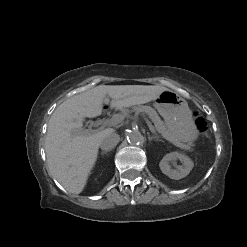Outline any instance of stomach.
<instances>
[{
	"label": "stomach",
	"mask_w": 247,
	"mask_h": 247,
	"mask_svg": "<svg viewBox=\"0 0 247 247\" xmlns=\"http://www.w3.org/2000/svg\"><path fill=\"white\" fill-rule=\"evenodd\" d=\"M154 107L164 118L168 130L182 143L190 145L198 139L199 132L188 103L174 91L162 92Z\"/></svg>",
	"instance_id": "obj_1"
}]
</instances>
